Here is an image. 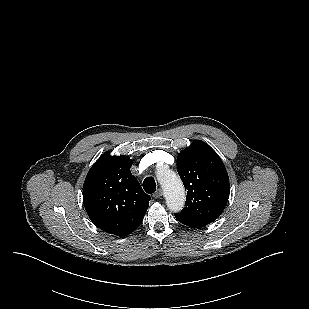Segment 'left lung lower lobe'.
<instances>
[{"label": "left lung lower lobe", "instance_id": "left-lung-lower-lobe-1", "mask_svg": "<svg viewBox=\"0 0 309 309\" xmlns=\"http://www.w3.org/2000/svg\"><path fill=\"white\" fill-rule=\"evenodd\" d=\"M181 223H183L184 225L190 226L192 228H199L200 226L198 225H192L191 223L184 221V220H179Z\"/></svg>", "mask_w": 309, "mask_h": 309}]
</instances>
